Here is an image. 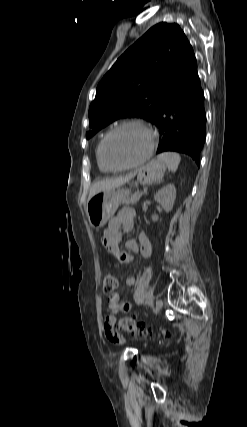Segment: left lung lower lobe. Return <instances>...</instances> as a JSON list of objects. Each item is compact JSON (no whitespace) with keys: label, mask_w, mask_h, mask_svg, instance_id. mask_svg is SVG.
I'll return each instance as SVG.
<instances>
[{"label":"left lung lower lobe","mask_w":247,"mask_h":427,"mask_svg":"<svg viewBox=\"0 0 247 427\" xmlns=\"http://www.w3.org/2000/svg\"><path fill=\"white\" fill-rule=\"evenodd\" d=\"M205 123L204 94L196 68L188 81L174 88L162 105L155 121L161 133L157 154L185 153L199 166L206 137Z\"/></svg>","instance_id":"1"}]
</instances>
